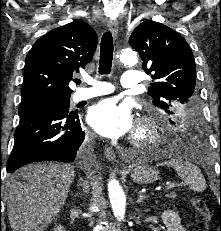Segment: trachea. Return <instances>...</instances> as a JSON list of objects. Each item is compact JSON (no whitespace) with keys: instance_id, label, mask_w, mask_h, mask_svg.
Returning <instances> with one entry per match:
<instances>
[{"instance_id":"1","label":"trachea","mask_w":221,"mask_h":231,"mask_svg":"<svg viewBox=\"0 0 221 231\" xmlns=\"http://www.w3.org/2000/svg\"><path fill=\"white\" fill-rule=\"evenodd\" d=\"M113 37L110 32L104 33L100 44V61H99V73L110 74L113 59ZM80 80H76V83H80Z\"/></svg>"}]
</instances>
